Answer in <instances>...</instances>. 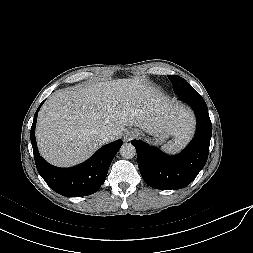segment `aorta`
<instances>
[{
    "label": "aorta",
    "mask_w": 253,
    "mask_h": 253,
    "mask_svg": "<svg viewBox=\"0 0 253 253\" xmlns=\"http://www.w3.org/2000/svg\"><path fill=\"white\" fill-rule=\"evenodd\" d=\"M119 151L124 159H132L136 155V149L131 143H124Z\"/></svg>",
    "instance_id": "762f6f07"
}]
</instances>
